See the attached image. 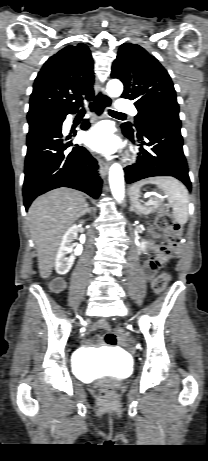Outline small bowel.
I'll use <instances>...</instances> for the list:
<instances>
[{
  "label": "small bowel",
  "mask_w": 208,
  "mask_h": 461,
  "mask_svg": "<svg viewBox=\"0 0 208 461\" xmlns=\"http://www.w3.org/2000/svg\"><path fill=\"white\" fill-rule=\"evenodd\" d=\"M152 248L154 249L155 246L153 245ZM144 268L148 276H152L155 272L154 269L149 268L148 262L145 264ZM63 283H64L63 279L61 278H58L54 281L56 288H61L63 286ZM108 327H109L108 323L105 320H101L96 324L95 330H106L108 329ZM119 342H120V337L118 336L117 332H110L109 335H106L103 339L99 338L97 340L98 344L107 343L108 344L107 348L109 351H116L118 348Z\"/></svg>",
  "instance_id": "small-bowel-1"
}]
</instances>
